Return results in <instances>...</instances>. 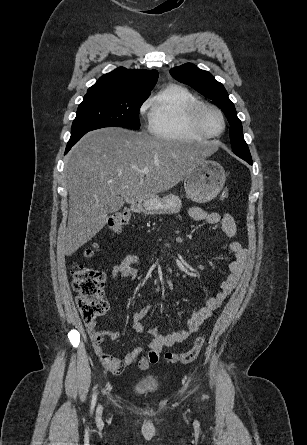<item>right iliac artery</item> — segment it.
<instances>
[{
    "label": "right iliac artery",
    "mask_w": 307,
    "mask_h": 445,
    "mask_svg": "<svg viewBox=\"0 0 307 445\" xmlns=\"http://www.w3.org/2000/svg\"><path fill=\"white\" fill-rule=\"evenodd\" d=\"M95 403H96V394H94V395H93V398H92V402H91V411L93 410V408H94V406H95Z\"/></svg>",
    "instance_id": "obj_1"
}]
</instances>
